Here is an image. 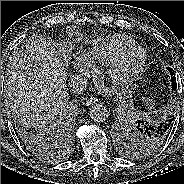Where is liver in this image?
I'll use <instances>...</instances> for the list:
<instances>
[{"instance_id":"1","label":"liver","mask_w":184,"mask_h":184,"mask_svg":"<svg viewBox=\"0 0 184 184\" xmlns=\"http://www.w3.org/2000/svg\"><path fill=\"white\" fill-rule=\"evenodd\" d=\"M5 97L31 125L46 128L64 108L66 73L55 47L44 38L26 41L8 63Z\"/></svg>"}]
</instances>
